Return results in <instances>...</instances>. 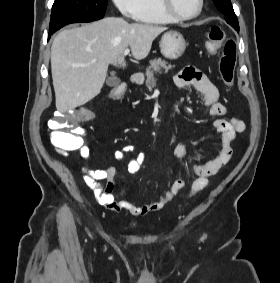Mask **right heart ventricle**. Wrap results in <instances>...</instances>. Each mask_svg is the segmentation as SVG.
Segmentation results:
<instances>
[{
	"label": "right heart ventricle",
	"instance_id": "obj_1",
	"mask_svg": "<svg viewBox=\"0 0 280 283\" xmlns=\"http://www.w3.org/2000/svg\"><path fill=\"white\" fill-rule=\"evenodd\" d=\"M136 21L143 24H170L176 22L161 8L160 0H140Z\"/></svg>",
	"mask_w": 280,
	"mask_h": 283
}]
</instances>
